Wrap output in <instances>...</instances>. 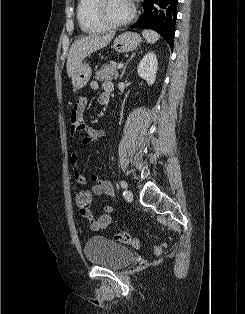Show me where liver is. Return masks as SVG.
<instances>
[{"label":"liver","instance_id":"obj_1","mask_svg":"<svg viewBox=\"0 0 245 314\" xmlns=\"http://www.w3.org/2000/svg\"><path fill=\"white\" fill-rule=\"evenodd\" d=\"M115 33L106 35L91 34L81 39L76 40L68 53L67 57V74L72 77L82 61L91 53L106 47L113 39Z\"/></svg>","mask_w":245,"mask_h":314}]
</instances>
